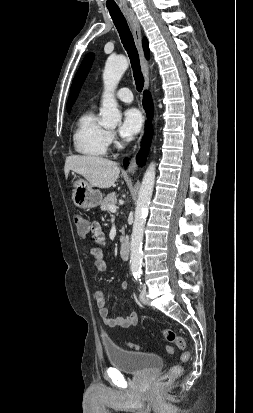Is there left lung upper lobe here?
<instances>
[{
	"mask_svg": "<svg viewBox=\"0 0 253 413\" xmlns=\"http://www.w3.org/2000/svg\"><path fill=\"white\" fill-rule=\"evenodd\" d=\"M94 59V54L89 53L83 62L81 63L79 70L73 80L71 89H70V96L67 103L68 112H70L72 105L76 101L78 94L80 92L81 86L91 68L92 61Z\"/></svg>",
	"mask_w": 253,
	"mask_h": 413,
	"instance_id": "5c2ea615",
	"label": "left lung upper lobe"
}]
</instances>
